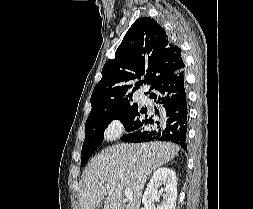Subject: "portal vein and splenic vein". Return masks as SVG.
Listing matches in <instances>:
<instances>
[{
	"label": "portal vein and splenic vein",
	"mask_w": 253,
	"mask_h": 209,
	"mask_svg": "<svg viewBox=\"0 0 253 209\" xmlns=\"http://www.w3.org/2000/svg\"><path fill=\"white\" fill-rule=\"evenodd\" d=\"M132 194H133V192H132L131 189L127 188L125 190V196H126V198H129V199L132 198Z\"/></svg>",
	"instance_id": "1"
}]
</instances>
